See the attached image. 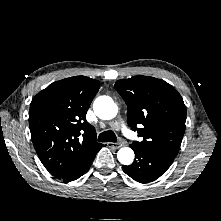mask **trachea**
I'll use <instances>...</instances> for the list:
<instances>
[{
	"label": "trachea",
	"mask_w": 221,
	"mask_h": 221,
	"mask_svg": "<svg viewBox=\"0 0 221 221\" xmlns=\"http://www.w3.org/2000/svg\"><path fill=\"white\" fill-rule=\"evenodd\" d=\"M99 142H117L115 133L112 130L104 131L99 134Z\"/></svg>",
	"instance_id": "3493384b"
}]
</instances>
